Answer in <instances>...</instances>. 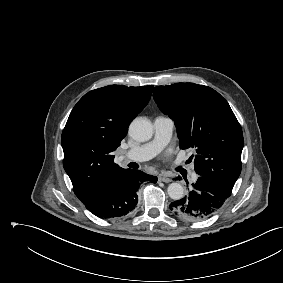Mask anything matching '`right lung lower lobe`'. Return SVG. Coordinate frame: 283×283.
Wrapping results in <instances>:
<instances>
[{
  "label": "right lung lower lobe",
  "instance_id": "1",
  "mask_svg": "<svg viewBox=\"0 0 283 283\" xmlns=\"http://www.w3.org/2000/svg\"><path fill=\"white\" fill-rule=\"evenodd\" d=\"M144 181L157 182V177L128 169L106 190L87 201L86 208L100 218H117L131 212L137 202V190Z\"/></svg>",
  "mask_w": 283,
  "mask_h": 283
}]
</instances>
